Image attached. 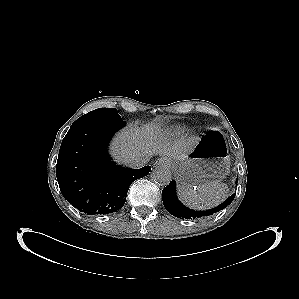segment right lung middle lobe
<instances>
[{
    "mask_svg": "<svg viewBox=\"0 0 299 299\" xmlns=\"http://www.w3.org/2000/svg\"><path fill=\"white\" fill-rule=\"evenodd\" d=\"M119 120H121V117L117 113L116 108H99L81 116L72 124V126L79 124L113 122Z\"/></svg>",
    "mask_w": 299,
    "mask_h": 299,
    "instance_id": "dd1d6c3e",
    "label": "right lung middle lobe"
}]
</instances>
